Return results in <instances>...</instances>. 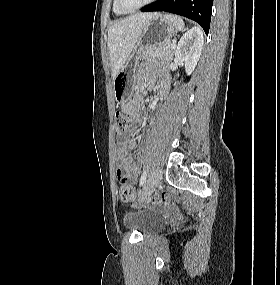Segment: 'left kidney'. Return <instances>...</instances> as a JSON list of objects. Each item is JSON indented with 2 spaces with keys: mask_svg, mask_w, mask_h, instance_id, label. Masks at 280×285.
I'll list each match as a JSON object with an SVG mask.
<instances>
[{
  "mask_svg": "<svg viewBox=\"0 0 280 285\" xmlns=\"http://www.w3.org/2000/svg\"><path fill=\"white\" fill-rule=\"evenodd\" d=\"M203 43V32L196 26L192 27L181 37L175 51V57L185 64L187 75L194 71L201 56Z\"/></svg>",
  "mask_w": 280,
  "mask_h": 285,
  "instance_id": "5707ae66",
  "label": "left kidney"
}]
</instances>
